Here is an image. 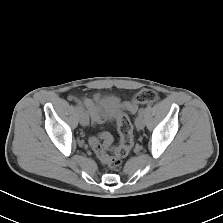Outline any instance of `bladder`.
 <instances>
[{
    "label": "bladder",
    "mask_w": 223,
    "mask_h": 223,
    "mask_svg": "<svg viewBox=\"0 0 223 223\" xmlns=\"http://www.w3.org/2000/svg\"><path fill=\"white\" fill-rule=\"evenodd\" d=\"M104 108L106 110L109 120H113L117 111V102L115 100H107L104 102Z\"/></svg>",
    "instance_id": "obj_1"
}]
</instances>
